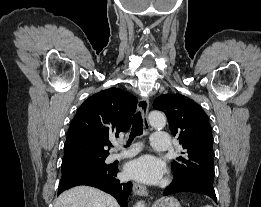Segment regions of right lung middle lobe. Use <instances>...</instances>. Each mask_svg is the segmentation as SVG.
I'll use <instances>...</instances> for the list:
<instances>
[{"instance_id": "dd1d6c3e", "label": "right lung middle lobe", "mask_w": 261, "mask_h": 207, "mask_svg": "<svg viewBox=\"0 0 261 207\" xmlns=\"http://www.w3.org/2000/svg\"><path fill=\"white\" fill-rule=\"evenodd\" d=\"M106 157L107 156H90L62 161V173L84 168L105 167L107 166L105 164Z\"/></svg>"}]
</instances>
